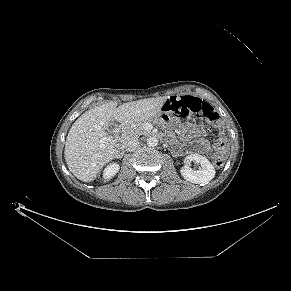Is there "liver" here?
<instances>
[{
    "mask_svg": "<svg viewBox=\"0 0 291 291\" xmlns=\"http://www.w3.org/2000/svg\"><path fill=\"white\" fill-rule=\"evenodd\" d=\"M168 96L99 105L83 113L72 125L65 143V161L81 181L90 182L117 150L116 140L107 133L110 121L124 125L151 120L161 112Z\"/></svg>",
    "mask_w": 291,
    "mask_h": 291,
    "instance_id": "liver-1",
    "label": "liver"
}]
</instances>
